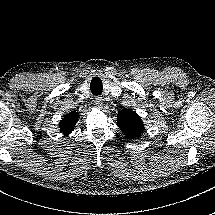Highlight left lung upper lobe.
Listing matches in <instances>:
<instances>
[{"label":"left lung upper lobe","instance_id":"5c2ea615","mask_svg":"<svg viewBox=\"0 0 215 215\" xmlns=\"http://www.w3.org/2000/svg\"><path fill=\"white\" fill-rule=\"evenodd\" d=\"M117 123L126 138L133 139L144 130L142 119L132 110L123 109L117 115Z\"/></svg>","mask_w":215,"mask_h":215}]
</instances>
